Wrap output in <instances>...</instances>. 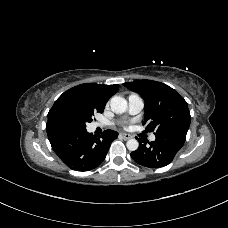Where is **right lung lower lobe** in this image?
<instances>
[{
	"instance_id": "1",
	"label": "right lung lower lobe",
	"mask_w": 228,
	"mask_h": 228,
	"mask_svg": "<svg viewBox=\"0 0 228 228\" xmlns=\"http://www.w3.org/2000/svg\"><path fill=\"white\" fill-rule=\"evenodd\" d=\"M47 135L52 149L68 167L89 171L103 162L118 133L106 130L100 138H95L86 130L53 126L47 129Z\"/></svg>"
}]
</instances>
